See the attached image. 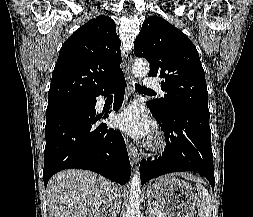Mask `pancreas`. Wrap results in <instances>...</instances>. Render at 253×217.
Instances as JSON below:
<instances>
[{"instance_id":"1","label":"pancreas","mask_w":253,"mask_h":217,"mask_svg":"<svg viewBox=\"0 0 253 217\" xmlns=\"http://www.w3.org/2000/svg\"><path fill=\"white\" fill-rule=\"evenodd\" d=\"M159 209H160L162 214L160 216L156 215V217H170V215L167 212L164 211V208L162 206ZM153 217H155V216H153Z\"/></svg>"}]
</instances>
